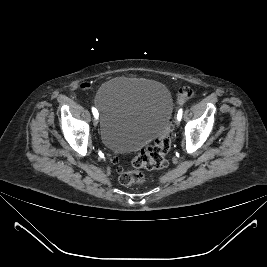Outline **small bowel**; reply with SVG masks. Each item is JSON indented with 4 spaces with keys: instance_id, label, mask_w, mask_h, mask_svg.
<instances>
[{
    "instance_id": "obj_1",
    "label": "small bowel",
    "mask_w": 267,
    "mask_h": 267,
    "mask_svg": "<svg viewBox=\"0 0 267 267\" xmlns=\"http://www.w3.org/2000/svg\"><path fill=\"white\" fill-rule=\"evenodd\" d=\"M87 86H88L87 84L82 85V87H87Z\"/></svg>"
}]
</instances>
